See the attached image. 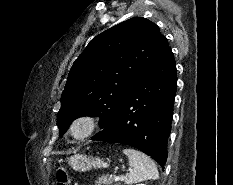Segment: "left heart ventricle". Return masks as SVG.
<instances>
[{
    "label": "left heart ventricle",
    "mask_w": 233,
    "mask_h": 185,
    "mask_svg": "<svg viewBox=\"0 0 233 185\" xmlns=\"http://www.w3.org/2000/svg\"><path fill=\"white\" fill-rule=\"evenodd\" d=\"M84 131V126L83 125H79L77 126V128L75 129V133L76 134H81Z\"/></svg>",
    "instance_id": "left-heart-ventricle-1"
}]
</instances>
